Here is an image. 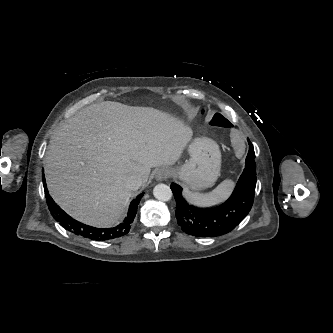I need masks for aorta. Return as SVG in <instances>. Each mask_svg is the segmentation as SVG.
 <instances>
[{
  "label": "aorta",
  "mask_w": 333,
  "mask_h": 333,
  "mask_svg": "<svg viewBox=\"0 0 333 333\" xmlns=\"http://www.w3.org/2000/svg\"><path fill=\"white\" fill-rule=\"evenodd\" d=\"M154 197L160 201H169L172 197V191L166 184H158L153 189Z\"/></svg>",
  "instance_id": "aorta-1"
}]
</instances>
